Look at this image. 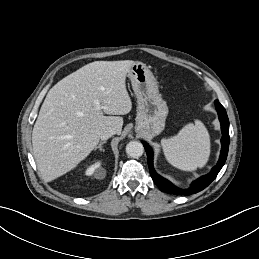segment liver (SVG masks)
I'll return each instance as SVG.
<instances>
[{
    "mask_svg": "<svg viewBox=\"0 0 259 259\" xmlns=\"http://www.w3.org/2000/svg\"><path fill=\"white\" fill-rule=\"evenodd\" d=\"M134 63L95 61L49 90L32 131L33 156L45 181L74 169L96 147L105 130L121 134L123 118L104 114L131 111L125 79Z\"/></svg>",
    "mask_w": 259,
    "mask_h": 259,
    "instance_id": "1",
    "label": "liver"
}]
</instances>
